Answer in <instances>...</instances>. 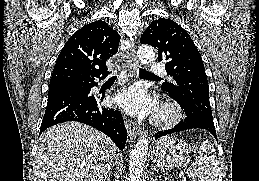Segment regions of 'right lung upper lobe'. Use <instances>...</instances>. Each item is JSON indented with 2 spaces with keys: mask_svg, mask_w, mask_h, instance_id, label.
Masks as SVG:
<instances>
[{
  "mask_svg": "<svg viewBox=\"0 0 259 181\" xmlns=\"http://www.w3.org/2000/svg\"><path fill=\"white\" fill-rule=\"evenodd\" d=\"M120 35L101 20L83 26L61 50L50 85L107 75L106 60L118 51Z\"/></svg>",
  "mask_w": 259,
  "mask_h": 181,
  "instance_id": "right-lung-upper-lobe-1",
  "label": "right lung upper lobe"
}]
</instances>
